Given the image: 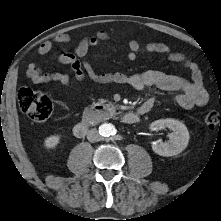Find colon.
Wrapping results in <instances>:
<instances>
[{
    "label": "colon",
    "mask_w": 221,
    "mask_h": 221,
    "mask_svg": "<svg viewBox=\"0 0 221 221\" xmlns=\"http://www.w3.org/2000/svg\"><path fill=\"white\" fill-rule=\"evenodd\" d=\"M18 103L21 111L34 122L46 121L53 110V104L46 95L30 88L20 89ZM205 122L209 127L221 125V115L217 111H210Z\"/></svg>",
    "instance_id": "5ec220e1"
}]
</instances>
